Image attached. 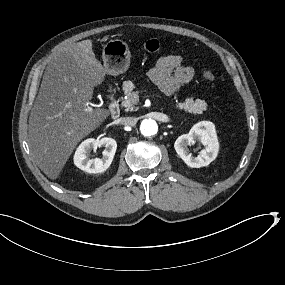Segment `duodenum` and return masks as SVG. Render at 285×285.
<instances>
[{
	"label": "duodenum",
	"mask_w": 285,
	"mask_h": 285,
	"mask_svg": "<svg viewBox=\"0 0 285 285\" xmlns=\"http://www.w3.org/2000/svg\"><path fill=\"white\" fill-rule=\"evenodd\" d=\"M109 111H110L112 118L116 119L119 116L120 111H119V107L116 104V102L114 101L111 102Z\"/></svg>",
	"instance_id": "obj_1"
}]
</instances>
